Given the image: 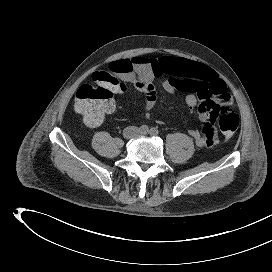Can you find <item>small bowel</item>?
I'll return each mask as SVG.
<instances>
[{
  "label": "small bowel",
  "instance_id": "obj_1",
  "mask_svg": "<svg viewBox=\"0 0 272 272\" xmlns=\"http://www.w3.org/2000/svg\"><path fill=\"white\" fill-rule=\"evenodd\" d=\"M121 81L130 83L144 93L143 111L146 117L157 102V92L153 79L166 75L162 87L167 93H186L185 103L189 109L198 107L201 131L190 129L189 134L199 147H211L217 143V133L209 121V109L215 111L220 104L229 105L232 97L226 83L210 67L177 57H161L151 60L142 56L113 61L110 65ZM114 111V103L107 114Z\"/></svg>",
  "mask_w": 272,
  "mask_h": 272
}]
</instances>
